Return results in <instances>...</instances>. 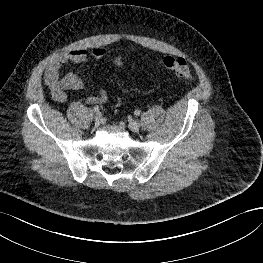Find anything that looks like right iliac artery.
Returning <instances> with one entry per match:
<instances>
[{
	"mask_svg": "<svg viewBox=\"0 0 263 263\" xmlns=\"http://www.w3.org/2000/svg\"><path fill=\"white\" fill-rule=\"evenodd\" d=\"M93 110H94V112H99L100 108H99V106H95V107L93 108Z\"/></svg>",
	"mask_w": 263,
	"mask_h": 263,
	"instance_id": "82829eb1",
	"label": "right iliac artery"
}]
</instances>
